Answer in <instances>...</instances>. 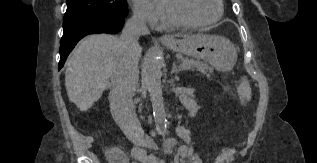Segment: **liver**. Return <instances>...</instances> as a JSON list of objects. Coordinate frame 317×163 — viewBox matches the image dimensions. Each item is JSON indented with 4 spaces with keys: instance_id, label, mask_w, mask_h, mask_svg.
Returning a JSON list of instances; mask_svg holds the SVG:
<instances>
[{
    "instance_id": "6515ba94",
    "label": "liver",
    "mask_w": 317,
    "mask_h": 163,
    "mask_svg": "<svg viewBox=\"0 0 317 163\" xmlns=\"http://www.w3.org/2000/svg\"><path fill=\"white\" fill-rule=\"evenodd\" d=\"M119 39L109 34L86 37L72 52L66 67L65 86L69 100L87 111L110 86L120 56ZM142 49L136 56L139 60Z\"/></svg>"
}]
</instances>
